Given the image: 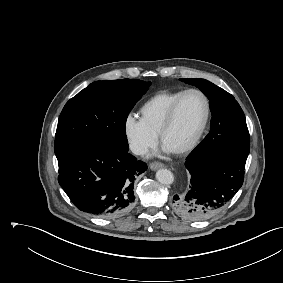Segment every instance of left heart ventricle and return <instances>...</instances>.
Instances as JSON below:
<instances>
[{
  "label": "left heart ventricle",
  "mask_w": 283,
  "mask_h": 283,
  "mask_svg": "<svg viewBox=\"0 0 283 283\" xmlns=\"http://www.w3.org/2000/svg\"><path fill=\"white\" fill-rule=\"evenodd\" d=\"M205 115V103L198 94H189L181 102L163 144L173 152L188 145L196 136Z\"/></svg>",
  "instance_id": "left-heart-ventricle-1"
}]
</instances>
